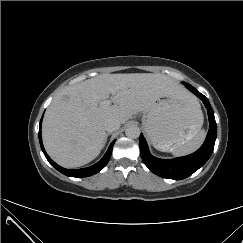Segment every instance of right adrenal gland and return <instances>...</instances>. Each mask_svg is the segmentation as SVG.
<instances>
[{"instance_id":"1","label":"right adrenal gland","mask_w":243,"mask_h":243,"mask_svg":"<svg viewBox=\"0 0 243 243\" xmlns=\"http://www.w3.org/2000/svg\"><path fill=\"white\" fill-rule=\"evenodd\" d=\"M110 134H111V133H106L105 141H104V145L106 144V142H107V138H108V136H109Z\"/></svg>"}]
</instances>
